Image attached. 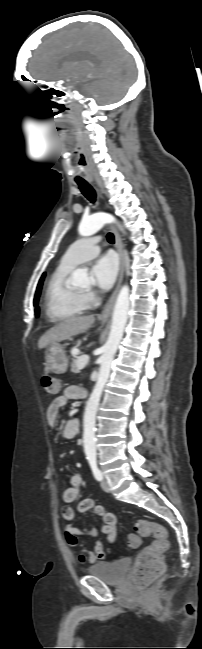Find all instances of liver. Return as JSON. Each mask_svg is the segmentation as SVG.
Wrapping results in <instances>:
<instances>
[{"label": "liver", "mask_w": 202, "mask_h": 649, "mask_svg": "<svg viewBox=\"0 0 202 649\" xmlns=\"http://www.w3.org/2000/svg\"><path fill=\"white\" fill-rule=\"evenodd\" d=\"M95 322L93 315L66 319L49 329L38 341L42 349L87 331Z\"/></svg>", "instance_id": "obj_1"}]
</instances>
